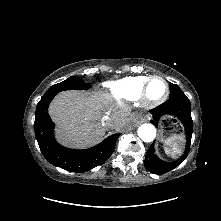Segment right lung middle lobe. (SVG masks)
Instances as JSON below:
<instances>
[{"label":"right lung middle lobe","mask_w":221,"mask_h":221,"mask_svg":"<svg viewBox=\"0 0 221 221\" xmlns=\"http://www.w3.org/2000/svg\"><path fill=\"white\" fill-rule=\"evenodd\" d=\"M90 87L91 85L89 83H85L82 79L72 76L61 83L53 85L44 95L57 94L60 91L70 89L84 90Z\"/></svg>","instance_id":"1"}]
</instances>
